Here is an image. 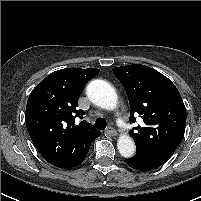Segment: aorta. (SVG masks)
<instances>
[{"instance_id": "762f6f07", "label": "aorta", "mask_w": 201, "mask_h": 201, "mask_svg": "<svg viewBox=\"0 0 201 201\" xmlns=\"http://www.w3.org/2000/svg\"><path fill=\"white\" fill-rule=\"evenodd\" d=\"M86 93L90 101L101 108L113 110L117 106L118 97L115 89L104 80L91 81L87 86ZM117 148L125 158L132 157L136 150L133 139L127 134H122L119 137Z\"/></svg>"}]
</instances>
